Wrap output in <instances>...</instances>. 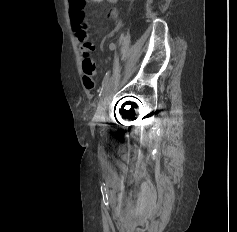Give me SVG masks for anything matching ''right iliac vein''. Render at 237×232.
Wrapping results in <instances>:
<instances>
[{"label": "right iliac vein", "mask_w": 237, "mask_h": 232, "mask_svg": "<svg viewBox=\"0 0 237 232\" xmlns=\"http://www.w3.org/2000/svg\"><path fill=\"white\" fill-rule=\"evenodd\" d=\"M112 82H113V77L110 78L108 84L106 85V87L101 95V98H100V101H99V104H98V107H97V110L95 113V118L97 120H101L104 117L105 109H106L108 99L110 96Z\"/></svg>", "instance_id": "1"}]
</instances>
